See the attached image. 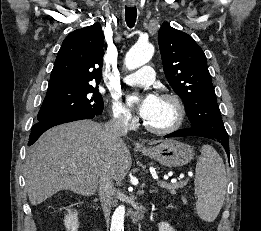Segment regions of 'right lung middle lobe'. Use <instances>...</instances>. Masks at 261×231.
Instances as JSON below:
<instances>
[{
  "mask_svg": "<svg viewBox=\"0 0 261 231\" xmlns=\"http://www.w3.org/2000/svg\"><path fill=\"white\" fill-rule=\"evenodd\" d=\"M103 100L97 86L48 88L37 119L43 122L62 115L89 112L100 115Z\"/></svg>",
  "mask_w": 261,
  "mask_h": 231,
  "instance_id": "obj_1",
  "label": "right lung middle lobe"
}]
</instances>
